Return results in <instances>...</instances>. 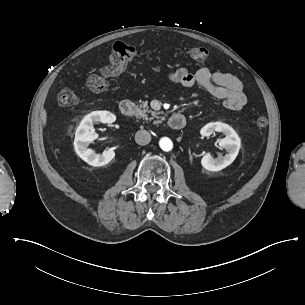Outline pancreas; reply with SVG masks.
<instances>
[{
	"mask_svg": "<svg viewBox=\"0 0 305 305\" xmlns=\"http://www.w3.org/2000/svg\"><path fill=\"white\" fill-rule=\"evenodd\" d=\"M143 108V109H142ZM149 113L152 114V117H149ZM136 116L138 118H144L146 121H152L154 118L160 119L158 112H152L151 110H148V103L145 102L144 104L138 103L137 104V110H136ZM162 123L160 120H156L154 124Z\"/></svg>",
	"mask_w": 305,
	"mask_h": 305,
	"instance_id": "pancreas-1",
	"label": "pancreas"
}]
</instances>
